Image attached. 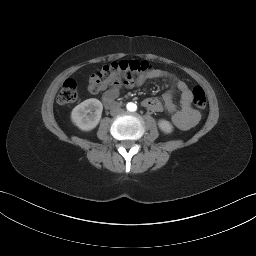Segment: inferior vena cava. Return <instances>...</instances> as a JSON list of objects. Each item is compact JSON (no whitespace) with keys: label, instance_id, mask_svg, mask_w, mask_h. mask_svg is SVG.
Segmentation results:
<instances>
[{"label":"inferior vena cava","instance_id":"602c4592","mask_svg":"<svg viewBox=\"0 0 256 256\" xmlns=\"http://www.w3.org/2000/svg\"><path fill=\"white\" fill-rule=\"evenodd\" d=\"M123 112V109L122 108H114L111 110V115H116V114H119V113H122Z\"/></svg>","mask_w":256,"mask_h":256}]
</instances>
